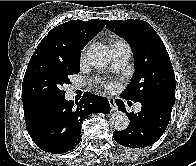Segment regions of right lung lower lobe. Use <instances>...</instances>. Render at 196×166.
Listing matches in <instances>:
<instances>
[{"instance_id": "1", "label": "right lung lower lobe", "mask_w": 196, "mask_h": 166, "mask_svg": "<svg viewBox=\"0 0 196 166\" xmlns=\"http://www.w3.org/2000/svg\"><path fill=\"white\" fill-rule=\"evenodd\" d=\"M26 129L35 144L54 154L73 150L81 140V122L92 113H109L105 97L86 92L76 103L58 98L23 102Z\"/></svg>"}]
</instances>
